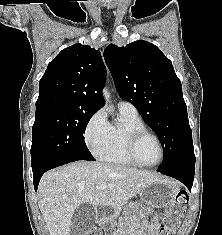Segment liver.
Listing matches in <instances>:
<instances>
[{
	"label": "liver",
	"instance_id": "obj_1",
	"mask_svg": "<svg viewBox=\"0 0 222 235\" xmlns=\"http://www.w3.org/2000/svg\"><path fill=\"white\" fill-rule=\"evenodd\" d=\"M156 173L100 162H74L43 175L38 206L49 235H70L72 216L83 203L116 207L130 200L150 183ZM106 189H97L100 185Z\"/></svg>",
	"mask_w": 222,
	"mask_h": 235
}]
</instances>
